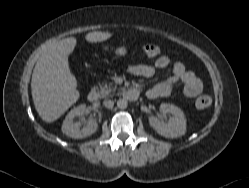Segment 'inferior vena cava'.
<instances>
[{
  "label": "inferior vena cava",
  "mask_w": 249,
  "mask_h": 188,
  "mask_svg": "<svg viewBox=\"0 0 249 188\" xmlns=\"http://www.w3.org/2000/svg\"><path fill=\"white\" fill-rule=\"evenodd\" d=\"M103 105L107 108H112L114 106V102L112 100H106L103 102Z\"/></svg>",
  "instance_id": "602c4592"
}]
</instances>
